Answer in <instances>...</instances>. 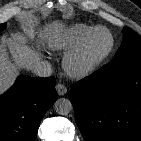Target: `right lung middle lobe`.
I'll return each instance as SVG.
<instances>
[{"label":"right lung middle lobe","instance_id":"dd1d6c3e","mask_svg":"<svg viewBox=\"0 0 141 141\" xmlns=\"http://www.w3.org/2000/svg\"><path fill=\"white\" fill-rule=\"evenodd\" d=\"M6 28V23L0 24V31L4 30Z\"/></svg>","mask_w":141,"mask_h":141}]
</instances>
